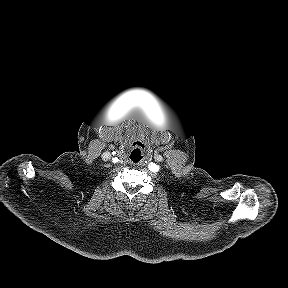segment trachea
<instances>
[{"label": "trachea", "mask_w": 288, "mask_h": 288, "mask_svg": "<svg viewBox=\"0 0 288 288\" xmlns=\"http://www.w3.org/2000/svg\"><path fill=\"white\" fill-rule=\"evenodd\" d=\"M144 154H145L144 145L143 144L135 145L134 147L131 148L129 152V160L132 163H139L140 161H142Z\"/></svg>", "instance_id": "trachea-1"}]
</instances>
